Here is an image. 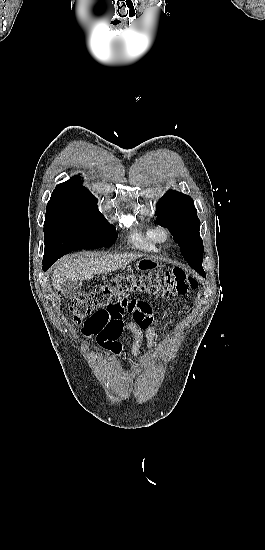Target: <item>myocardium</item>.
<instances>
[{
    "mask_svg": "<svg viewBox=\"0 0 265 550\" xmlns=\"http://www.w3.org/2000/svg\"><path fill=\"white\" fill-rule=\"evenodd\" d=\"M154 237L157 243L164 245L170 240V231L164 226L154 228Z\"/></svg>",
    "mask_w": 265,
    "mask_h": 550,
    "instance_id": "myocardium-1",
    "label": "myocardium"
}]
</instances>
